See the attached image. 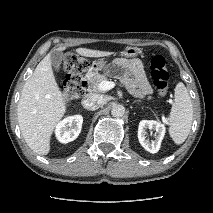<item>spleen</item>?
Segmentation results:
<instances>
[{"label": "spleen", "instance_id": "spleen-1", "mask_svg": "<svg viewBox=\"0 0 213 213\" xmlns=\"http://www.w3.org/2000/svg\"><path fill=\"white\" fill-rule=\"evenodd\" d=\"M193 120L190 95L182 82L175 87V99L169 116V134L175 144H182L189 135Z\"/></svg>", "mask_w": 213, "mask_h": 213}]
</instances>
